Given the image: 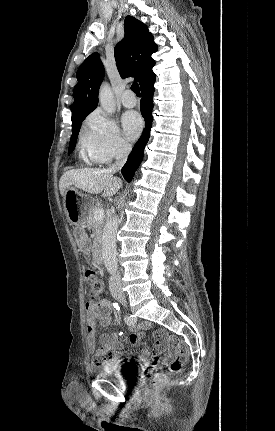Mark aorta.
<instances>
[{"mask_svg": "<svg viewBox=\"0 0 275 431\" xmlns=\"http://www.w3.org/2000/svg\"><path fill=\"white\" fill-rule=\"evenodd\" d=\"M99 102L106 113L115 112L116 105L110 86L104 83L99 91ZM118 216L110 218L104 227L102 235V255L105 268L109 273L118 269L116 237L118 231Z\"/></svg>", "mask_w": 275, "mask_h": 431, "instance_id": "obj_1", "label": "aorta"}]
</instances>
